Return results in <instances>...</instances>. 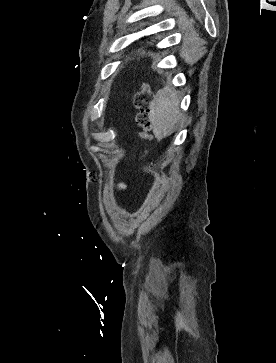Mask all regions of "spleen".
<instances>
[{
    "mask_svg": "<svg viewBox=\"0 0 276 363\" xmlns=\"http://www.w3.org/2000/svg\"><path fill=\"white\" fill-rule=\"evenodd\" d=\"M149 119L158 140L170 136L175 131L179 119V99L175 89L164 84V87L157 91L150 104Z\"/></svg>",
    "mask_w": 276,
    "mask_h": 363,
    "instance_id": "spleen-1",
    "label": "spleen"
}]
</instances>
